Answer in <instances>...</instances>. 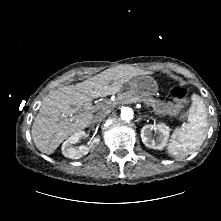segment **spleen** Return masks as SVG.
Returning <instances> with one entry per match:
<instances>
[{"label": "spleen", "mask_w": 221, "mask_h": 221, "mask_svg": "<svg viewBox=\"0 0 221 221\" xmlns=\"http://www.w3.org/2000/svg\"><path fill=\"white\" fill-rule=\"evenodd\" d=\"M191 100L188 122L174 130L167 146V152L170 156H187L200 147L206 138L207 108L199 95L193 94Z\"/></svg>", "instance_id": "3e777b00"}]
</instances>
